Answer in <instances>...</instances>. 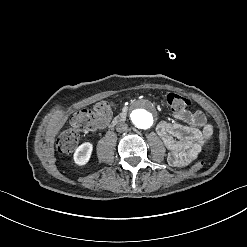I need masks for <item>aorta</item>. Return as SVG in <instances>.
<instances>
[{
    "label": "aorta",
    "instance_id": "762f6f07",
    "mask_svg": "<svg viewBox=\"0 0 247 247\" xmlns=\"http://www.w3.org/2000/svg\"><path fill=\"white\" fill-rule=\"evenodd\" d=\"M133 121L136 126L141 129L150 128L152 125L151 115L144 112V110H141L138 115H134Z\"/></svg>",
    "mask_w": 247,
    "mask_h": 247
}]
</instances>
